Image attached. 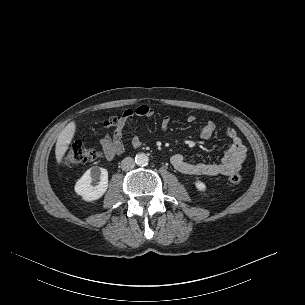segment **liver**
<instances>
[{"label":"liver","mask_w":305,"mask_h":305,"mask_svg":"<svg viewBox=\"0 0 305 305\" xmlns=\"http://www.w3.org/2000/svg\"><path fill=\"white\" fill-rule=\"evenodd\" d=\"M76 132V124L74 121L67 124V126L62 130L60 135L58 136L56 147H55V155L57 163L60 164L63 156L65 155L74 135Z\"/></svg>","instance_id":"liver-1"}]
</instances>
